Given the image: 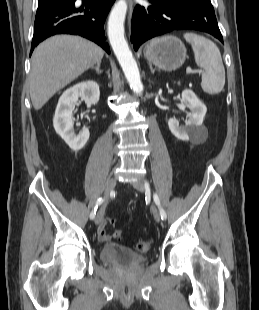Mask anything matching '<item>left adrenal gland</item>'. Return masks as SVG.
<instances>
[{"label":"left adrenal gland","mask_w":259,"mask_h":310,"mask_svg":"<svg viewBox=\"0 0 259 310\" xmlns=\"http://www.w3.org/2000/svg\"><path fill=\"white\" fill-rule=\"evenodd\" d=\"M149 68H150L151 73L154 74L155 70L152 68L151 64L149 65Z\"/></svg>","instance_id":"left-adrenal-gland-1"}]
</instances>
